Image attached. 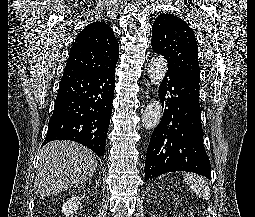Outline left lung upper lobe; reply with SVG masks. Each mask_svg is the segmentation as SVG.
I'll list each match as a JSON object with an SVG mask.
<instances>
[{"instance_id":"1","label":"left lung upper lobe","mask_w":255,"mask_h":217,"mask_svg":"<svg viewBox=\"0 0 255 217\" xmlns=\"http://www.w3.org/2000/svg\"><path fill=\"white\" fill-rule=\"evenodd\" d=\"M153 52L164 56L168 69L179 71L200 82L198 45L188 24L172 14L159 15L152 26Z\"/></svg>"}]
</instances>
